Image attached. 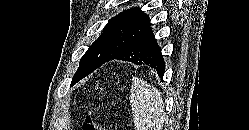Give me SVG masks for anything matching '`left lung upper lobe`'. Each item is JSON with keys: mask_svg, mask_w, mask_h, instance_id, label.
<instances>
[{"mask_svg": "<svg viewBox=\"0 0 249 130\" xmlns=\"http://www.w3.org/2000/svg\"><path fill=\"white\" fill-rule=\"evenodd\" d=\"M149 26L147 15L138 7L125 10L110 19L103 33L81 58L71 85L115 57L132 39Z\"/></svg>", "mask_w": 249, "mask_h": 130, "instance_id": "1", "label": "left lung upper lobe"}]
</instances>
